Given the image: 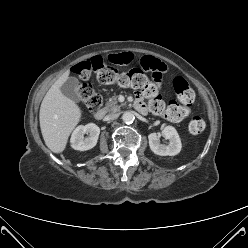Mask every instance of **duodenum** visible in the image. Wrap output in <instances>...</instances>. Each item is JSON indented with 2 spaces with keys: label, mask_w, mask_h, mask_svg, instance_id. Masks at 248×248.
Masks as SVG:
<instances>
[{
  "label": "duodenum",
  "mask_w": 248,
  "mask_h": 248,
  "mask_svg": "<svg viewBox=\"0 0 248 248\" xmlns=\"http://www.w3.org/2000/svg\"><path fill=\"white\" fill-rule=\"evenodd\" d=\"M134 107H135L138 111H140V112L143 110V109H142V106H141L138 102H135ZM104 115H105V111H104L103 108H101V109H99L98 111H96V112L94 113V118L97 119V120H99V119H102V118L104 117Z\"/></svg>",
  "instance_id": "1"
}]
</instances>
